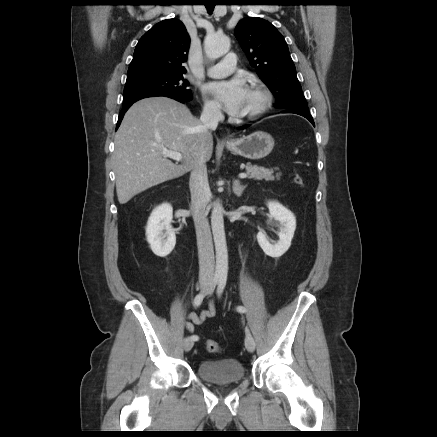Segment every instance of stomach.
Returning <instances> with one entry per match:
<instances>
[{
	"mask_svg": "<svg viewBox=\"0 0 437 437\" xmlns=\"http://www.w3.org/2000/svg\"><path fill=\"white\" fill-rule=\"evenodd\" d=\"M273 147V137L263 131H256L248 136L226 142V148L230 152L251 160H259L268 156Z\"/></svg>",
	"mask_w": 437,
	"mask_h": 437,
	"instance_id": "stomach-1",
	"label": "stomach"
}]
</instances>
